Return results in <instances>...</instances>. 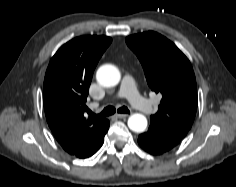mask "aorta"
<instances>
[{"mask_svg":"<svg viewBox=\"0 0 236 187\" xmlns=\"http://www.w3.org/2000/svg\"><path fill=\"white\" fill-rule=\"evenodd\" d=\"M96 79L101 86L113 87L120 82L121 74L114 65L105 64L97 70ZM128 127L134 132L141 133L147 127V119L142 114H133L128 119Z\"/></svg>","mask_w":236,"mask_h":187,"instance_id":"aorta-1","label":"aorta"}]
</instances>
